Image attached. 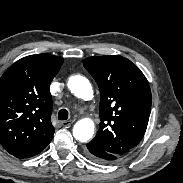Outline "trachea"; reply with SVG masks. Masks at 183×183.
Segmentation results:
<instances>
[{
  "label": "trachea",
  "mask_w": 183,
  "mask_h": 183,
  "mask_svg": "<svg viewBox=\"0 0 183 183\" xmlns=\"http://www.w3.org/2000/svg\"><path fill=\"white\" fill-rule=\"evenodd\" d=\"M69 117V113L66 109H61L59 112H58V119L59 120H67Z\"/></svg>",
  "instance_id": "3493384b"
}]
</instances>
